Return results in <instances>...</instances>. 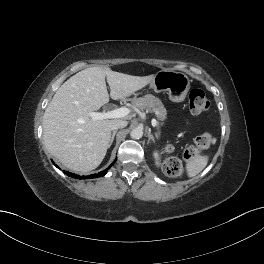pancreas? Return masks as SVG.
Segmentation results:
<instances>
[{"instance_id": "pancreas-1", "label": "pancreas", "mask_w": 264, "mask_h": 264, "mask_svg": "<svg viewBox=\"0 0 264 264\" xmlns=\"http://www.w3.org/2000/svg\"><path fill=\"white\" fill-rule=\"evenodd\" d=\"M134 109L147 110L149 112H155L159 121H164L167 118V111L163 106L162 101L154 95L147 94L143 97L134 98L131 102ZM163 123H161L162 125ZM156 136L160 134L159 127Z\"/></svg>"}]
</instances>
